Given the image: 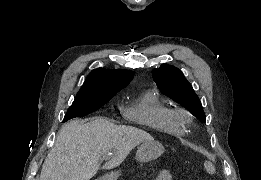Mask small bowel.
I'll use <instances>...</instances> for the list:
<instances>
[{
  "label": "small bowel",
  "instance_id": "obj_1",
  "mask_svg": "<svg viewBox=\"0 0 261 180\" xmlns=\"http://www.w3.org/2000/svg\"><path fill=\"white\" fill-rule=\"evenodd\" d=\"M157 180H170L171 179V175L168 171L166 170H162L158 173L157 175Z\"/></svg>",
  "mask_w": 261,
  "mask_h": 180
}]
</instances>
